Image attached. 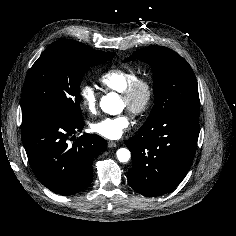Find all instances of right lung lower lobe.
Segmentation results:
<instances>
[{
    "label": "right lung lower lobe",
    "mask_w": 236,
    "mask_h": 236,
    "mask_svg": "<svg viewBox=\"0 0 236 236\" xmlns=\"http://www.w3.org/2000/svg\"><path fill=\"white\" fill-rule=\"evenodd\" d=\"M83 127L82 116L39 113L22 119L29 164L37 179L54 193L68 196L88 187L93 160L107 148L106 141L96 134H83L69 143L70 136Z\"/></svg>",
    "instance_id": "right-lung-lower-lobe-1"
}]
</instances>
